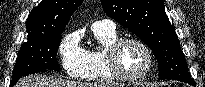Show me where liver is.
Instances as JSON below:
<instances>
[{
  "label": "liver",
  "instance_id": "liver-1",
  "mask_svg": "<svg viewBox=\"0 0 205 87\" xmlns=\"http://www.w3.org/2000/svg\"><path fill=\"white\" fill-rule=\"evenodd\" d=\"M15 87H113L110 84H89L63 80L59 78L44 77L38 74L22 78Z\"/></svg>",
  "mask_w": 205,
  "mask_h": 87
}]
</instances>
